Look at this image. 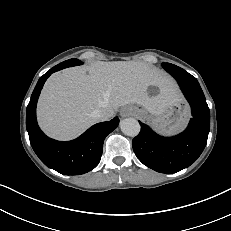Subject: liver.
<instances>
[{
  "instance_id": "liver-1",
  "label": "liver",
  "mask_w": 231,
  "mask_h": 231,
  "mask_svg": "<svg viewBox=\"0 0 231 231\" xmlns=\"http://www.w3.org/2000/svg\"><path fill=\"white\" fill-rule=\"evenodd\" d=\"M150 86L159 93L148 94ZM181 99L173 79L164 71L135 61H97L52 74L41 92L37 118L42 130L58 140L82 134L98 120L93 112L137 104L157 116Z\"/></svg>"
}]
</instances>
